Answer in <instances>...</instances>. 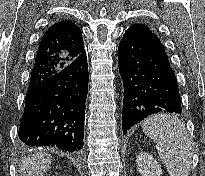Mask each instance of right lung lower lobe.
<instances>
[{"instance_id":"obj_1","label":"right lung lower lobe","mask_w":205,"mask_h":176,"mask_svg":"<svg viewBox=\"0 0 205 176\" xmlns=\"http://www.w3.org/2000/svg\"><path fill=\"white\" fill-rule=\"evenodd\" d=\"M88 65L83 52L58 73L28 89L19 126L24 146L83 147Z\"/></svg>"}]
</instances>
